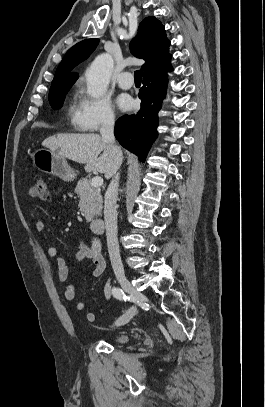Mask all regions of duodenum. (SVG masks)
<instances>
[{"label":"duodenum","instance_id":"410a0bca","mask_svg":"<svg viewBox=\"0 0 265 407\" xmlns=\"http://www.w3.org/2000/svg\"><path fill=\"white\" fill-rule=\"evenodd\" d=\"M105 224L102 219L95 218L90 222V229L92 232L101 234L104 232Z\"/></svg>","mask_w":265,"mask_h":407}]
</instances>
